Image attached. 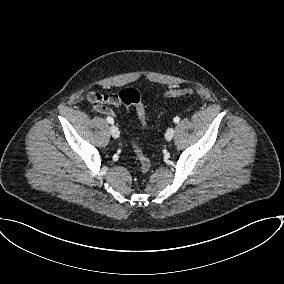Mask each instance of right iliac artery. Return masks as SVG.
Wrapping results in <instances>:
<instances>
[{
  "instance_id": "1",
  "label": "right iliac artery",
  "mask_w": 284,
  "mask_h": 284,
  "mask_svg": "<svg viewBox=\"0 0 284 284\" xmlns=\"http://www.w3.org/2000/svg\"><path fill=\"white\" fill-rule=\"evenodd\" d=\"M106 120H107V122L108 123H110V124H113L114 123V120H113V118L112 117H106Z\"/></svg>"
}]
</instances>
